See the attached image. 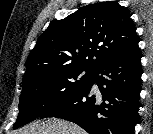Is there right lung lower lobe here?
Returning a JSON list of instances; mask_svg holds the SVG:
<instances>
[{
	"mask_svg": "<svg viewBox=\"0 0 153 134\" xmlns=\"http://www.w3.org/2000/svg\"><path fill=\"white\" fill-rule=\"evenodd\" d=\"M138 44L94 68L88 83L40 118L71 121L89 134H134L141 90ZM99 92L94 94L93 85Z\"/></svg>",
	"mask_w": 153,
	"mask_h": 134,
	"instance_id": "obj_1",
	"label": "right lung lower lobe"
}]
</instances>
